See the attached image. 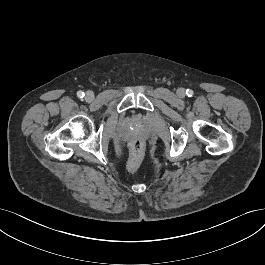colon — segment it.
<instances>
[{"label": "colon", "instance_id": "5ec220e1", "mask_svg": "<svg viewBox=\"0 0 265 265\" xmlns=\"http://www.w3.org/2000/svg\"><path fill=\"white\" fill-rule=\"evenodd\" d=\"M144 156L143 144L139 141H133L130 147L129 159L127 168L130 171H135L140 166Z\"/></svg>", "mask_w": 265, "mask_h": 265}]
</instances>
